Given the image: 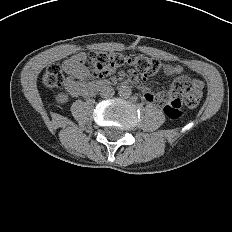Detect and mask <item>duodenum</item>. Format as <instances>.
<instances>
[{"label": "duodenum", "mask_w": 232, "mask_h": 232, "mask_svg": "<svg viewBox=\"0 0 232 232\" xmlns=\"http://www.w3.org/2000/svg\"><path fill=\"white\" fill-rule=\"evenodd\" d=\"M108 85L109 83L107 81L99 80L97 82L88 84L87 90H88L89 95H93L98 89L104 88Z\"/></svg>", "instance_id": "obj_1"}]
</instances>
